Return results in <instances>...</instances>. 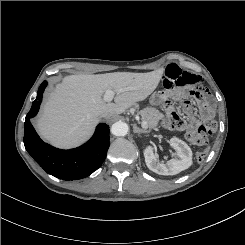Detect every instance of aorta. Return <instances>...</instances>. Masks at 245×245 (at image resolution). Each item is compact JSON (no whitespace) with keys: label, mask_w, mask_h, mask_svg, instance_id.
<instances>
[{"label":"aorta","mask_w":245,"mask_h":245,"mask_svg":"<svg viewBox=\"0 0 245 245\" xmlns=\"http://www.w3.org/2000/svg\"><path fill=\"white\" fill-rule=\"evenodd\" d=\"M114 136H125L128 133V125L122 121L115 122L111 127Z\"/></svg>","instance_id":"aorta-1"}]
</instances>
